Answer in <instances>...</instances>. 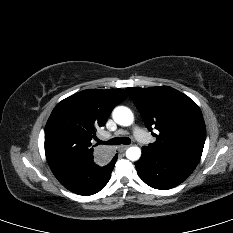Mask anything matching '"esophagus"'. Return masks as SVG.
<instances>
[{
  "mask_svg": "<svg viewBox=\"0 0 233 233\" xmlns=\"http://www.w3.org/2000/svg\"><path fill=\"white\" fill-rule=\"evenodd\" d=\"M128 147H129V145H120V146L118 147V150H119L120 152H123V151H125Z\"/></svg>",
  "mask_w": 233,
  "mask_h": 233,
  "instance_id": "esophagus-1",
  "label": "esophagus"
}]
</instances>
